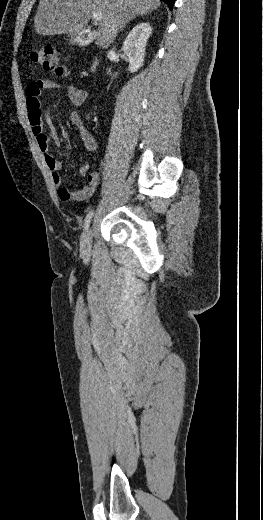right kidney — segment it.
<instances>
[{
    "label": "right kidney",
    "instance_id": "obj_1",
    "mask_svg": "<svg viewBox=\"0 0 263 520\" xmlns=\"http://www.w3.org/2000/svg\"><path fill=\"white\" fill-rule=\"evenodd\" d=\"M151 33L152 28L150 24L145 22L136 25L127 35L122 50L127 56L129 62L128 70L131 73L137 72V70L143 65L145 46ZM109 72L110 69L108 70V73Z\"/></svg>",
    "mask_w": 263,
    "mask_h": 520
}]
</instances>
